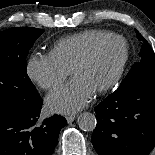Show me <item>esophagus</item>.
Returning <instances> with one entry per match:
<instances>
[{
    "instance_id": "esophagus-1",
    "label": "esophagus",
    "mask_w": 155,
    "mask_h": 155,
    "mask_svg": "<svg viewBox=\"0 0 155 155\" xmlns=\"http://www.w3.org/2000/svg\"><path fill=\"white\" fill-rule=\"evenodd\" d=\"M76 119L75 115L66 116V120L68 123H72Z\"/></svg>"
}]
</instances>
